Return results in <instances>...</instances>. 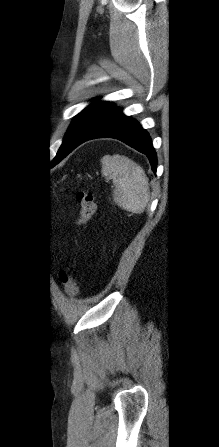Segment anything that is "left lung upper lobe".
<instances>
[{
	"mask_svg": "<svg viewBox=\"0 0 219 447\" xmlns=\"http://www.w3.org/2000/svg\"><path fill=\"white\" fill-rule=\"evenodd\" d=\"M114 109L115 107L110 102L98 101L76 115L65 134L63 144L56 157L62 155L73 144L82 141L93 133Z\"/></svg>",
	"mask_w": 219,
	"mask_h": 447,
	"instance_id": "1",
	"label": "left lung upper lobe"
}]
</instances>
